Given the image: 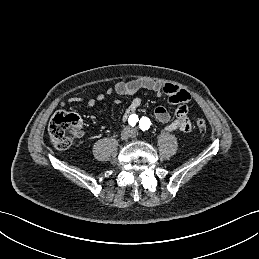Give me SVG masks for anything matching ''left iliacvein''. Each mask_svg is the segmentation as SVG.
<instances>
[{
  "label": "left iliac vein",
  "instance_id": "obj_1",
  "mask_svg": "<svg viewBox=\"0 0 259 259\" xmlns=\"http://www.w3.org/2000/svg\"><path fill=\"white\" fill-rule=\"evenodd\" d=\"M136 136H137L136 132L134 130H132L131 137L135 138Z\"/></svg>",
  "mask_w": 259,
  "mask_h": 259
}]
</instances>
